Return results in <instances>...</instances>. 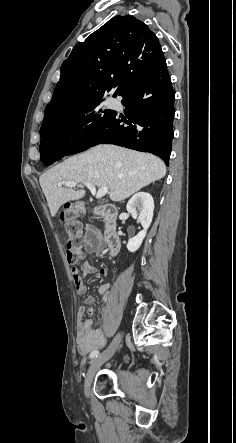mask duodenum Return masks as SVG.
Segmentation results:
<instances>
[{"label":"duodenum","instance_id":"410a0bca","mask_svg":"<svg viewBox=\"0 0 236 443\" xmlns=\"http://www.w3.org/2000/svg\"><path fill=\"white\" fill-rule=\"evenodd\" d=\"M95 213L102 216L107 221L104 235L105 242L112 254H116L120 247V237L116 231L115 219L118 216V209L113 206H103L95 210Z\"/></svg>","mask_w":236,"mask_h":443}]
</instances>
